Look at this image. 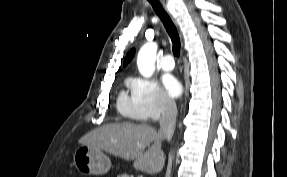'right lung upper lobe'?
Here are the masks:
<instances>
[{"label": "right lung upper lobe", "mask_w": 287, "mask_h": 177, "mask_svg": "<svg viewBox=\"0 0 287 177\" xmlns=\"http://www.w3.org/2000/svg\"><path fill=\"white\" fill-rule=\"evenodd\" d=\"M134 54H135V50L134 49L130 50V52L125 57L124 65H126L127 63H129L132 60Z\"/></svg>", "instance_id": "1"}]
</instances>
